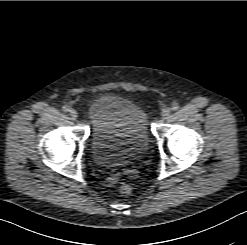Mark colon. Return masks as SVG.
<instances>
[{"instance_id":"colon-1","label":"colon","mask_w":247,"mask_h":245,"mask_svg":"<svg viewBox=\"0 0 247 245\" xmlns=\"http://www.w3.org/2000/svg\"><path fill=\"white\" fill-rule=\"evenodd\" d=\"M120 192L123 194V195H130L131 192H132V188L129 184L127 183H123L121 184L120 186Z\"/></svg>"}]
</instances>
